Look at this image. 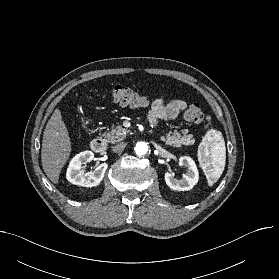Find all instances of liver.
Returning a JSON list of instances; mask_svg holds the SVG:
<instances>
[{"label":"liver","instance_id":"1","mask_svg":"<svg viewBox=\"0 0 279 279\" xmlns=\"http://www.w3.org/2000/svg\"><path fill=\"white\" fill-rule=\"evenodd\" d=\"M71 141L61 112L56 109L43 133L41 162L47 177L55 184L71 153Z\"/></svg>","mask_w":279,"mask_h":279}]
</instances>
